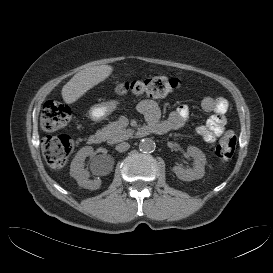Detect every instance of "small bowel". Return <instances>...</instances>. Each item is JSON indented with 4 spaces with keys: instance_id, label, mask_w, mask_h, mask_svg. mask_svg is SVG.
Instances as JSON below:
<instances>
[{
    "instance_id": "obj_1",
    "label": "small bowel",
    "mask_w": 273,
    "mask_h": 273,
    "mask_svg": "<svg viewBox=\"0 0 273 273\" xmlns=\"http://www.w3.org/2000/svg\"><path fill=\"white\" fill-rule=\"evenodd\" d=\"M201 106L206 112H213L205 124L195 129L196 134L207 143H214L226 131L225 114L228 109V102L223 97H205ZM139 112L145 117L148 123L159 121L161 111L158 103L152 99H144L138 104ZM189 109L186 105L179 106L164 121L168 124L169 130L182 128L188 118Z\"/></svg>"
}]
</instances>
